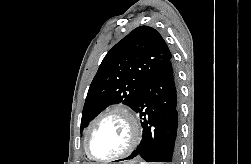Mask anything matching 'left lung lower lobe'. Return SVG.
<instances>
[{
  "mask_svg": "<svg viewBox=\"0 0 251 164\" xmlns=\"http://www.w3.org/2000/svg\"><path fill=\"white\" fill-rule=\"evenodd\" d=\"M179 92L172 61H168L144 86L134 111L142 118L143 135L127 158L146 162L176 163L178 159Z\"/></svg>",
  "mask_w": 251,
  "mask_h": 164,
  "instance_id": "1",
  "label": "left lung lower lobe"
}]
</instances>
